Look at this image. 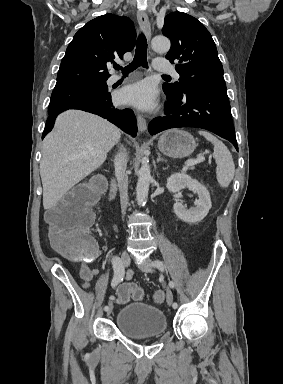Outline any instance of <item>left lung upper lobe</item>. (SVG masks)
Returning a JSON list of instances; mask_svg holds the SVG:
<instances>
[{"mask_svg":"<svg viewBox=\"0 0 283 384\" xmlns=\"http://www.w3.org/2000/svg\"><path fill=\"white\" fill-rule=\"evenodd\" d=\"M162 33L171 40L166 55L179 73V82L165 83L163 89L169 93H181L184 88L224 89L223 67L218 58L211 34L196 18L172 12L165 17Z\"/></svg>","mask_w":283,"mask_h":384,"instance_id":"5c2ea615","label":"left lung upper lobe"}]
</instances>
